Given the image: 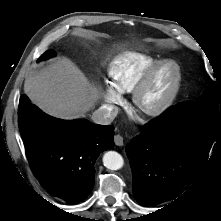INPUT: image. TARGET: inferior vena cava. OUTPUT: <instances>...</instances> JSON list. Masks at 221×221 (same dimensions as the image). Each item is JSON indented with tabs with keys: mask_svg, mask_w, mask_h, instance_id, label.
Returning <instances> with one entry per match:
<instances>
[{
	"mask_svg": "<svg viewBox=\"0 0 221 221\" xmlns=\"http://www.w3.org/2000/svg\"><path fill=\"white\" fill-rule=\"evenodd\" d=\"M118 114V107L114 105H103L92 114L91 119L100 125H109Z\"/></svg>",
	"mask_w": 221,
	"mask_h": 221,
	"instance_id": "1",
	"label": "inferior vena cava"
}]
</instances>
